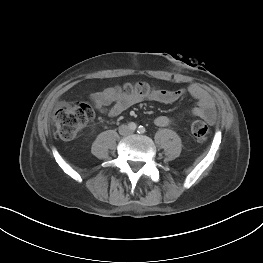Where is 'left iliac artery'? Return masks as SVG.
<instances>
[{
	"label": "left iliac artery",
	"instance_id": "1",
	"mask_svg": "<svg viewBox=\"0 0 263 263\" xmlns=\"http://www.w3.org/2000/svg\"><path fill=\"white\" fill-rule=\"evenodd\" d=\"M145 131H146L145 127H143V126H139V127H138L137 132H138L139 134H143V133H145Z\"/></svg>",
	"mask_w": 263,
	"mask_h": 263
}]
</instances>
